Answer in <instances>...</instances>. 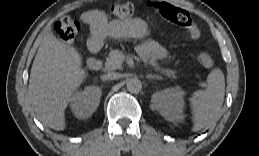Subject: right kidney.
<instances>
[{"mask_svg": "<svg viewBox=\"0 0 259 156\" xmlns=\"http://www.w3.org/2000/svg\"><path fill=\"white\" fill-rule=\"evenodd\" d=\"M101 95L102 90L98 86H87L73 95L70 108L77 118H89L98 108Z\"/></svg>", "mask_w": 259, "mask_h": 156, "instance_id": "1", "label": "right kidney"}]
</instances>
